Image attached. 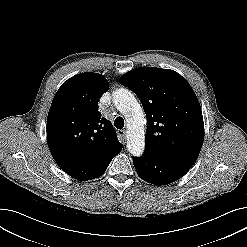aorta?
<instances>
[{"mask_svg": "<svg viewBox=\"0 0 247 247\" xmlns=\"http://www.w3.org/2000/svg\"><path fill=\"white\" fill-rule=\"evenodd\" d=\"M113 102L127 121V148L136 157H140L145 149L146 120L143 109L134 95L125 88L113 92Z\"/></svg>", "mask_w": 247, "mask_h": 247, "instance_id": "obj_1", "label": "aorta"}]
</instances>
